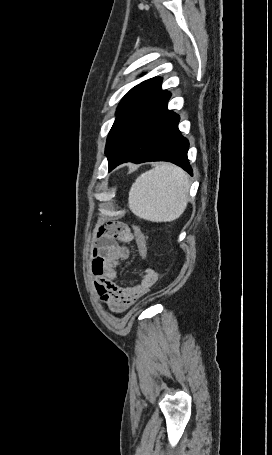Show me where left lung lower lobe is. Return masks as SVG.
<instances>
[{
  "instance_id": "1",
  "label": "left lung lower lobe",
  "mask_w": 272,
  "mask_h": 455,
  "mask_svg": "<svg viewBox=\"0 0 272 455\" xmlns=\"http://www.w3.org/2000/svg\"><path fill=\"white\" fill-rule=\"evenodd\" d=\"M170 92L163 90L123 127L107 153L109 171L124 162H172L192 175L189 142L179 129V116L167 109Z\"/></svg>"
}]
</instances>
